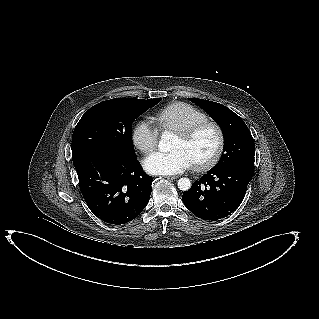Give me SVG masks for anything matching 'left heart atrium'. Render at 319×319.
Returning <instances> with one entry per match:
<instances>
[{"label": "left heart atrium", "mask_w": 319, "mask_h": 319, "mask_svg": "<svg viewBox=\"0 0 319 319\" xmlns=\"http://www.w3.org/2000/svg\"><path fill=\"white\" fill-rule=\"evenodd\" d=\"M191 165L189 156L182 149H173L169 152H153L143 161L145 170L157 175L177 174Z\"/></svg>", "instance_id": "1"}]
</instances>
